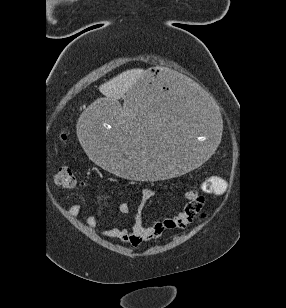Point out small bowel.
<instances>
[{
	"label": "small bowel",
	"mask_w": 286,
	"mask_h": 308,
	"mask_svg": "<svg viewBox=\"0 0 286 308\" xmlns=\"http://www.w3.org/2000/svg\"><path fill=\"white\" fill-rule=\"evenodd\" d=\"M142 194V205L154 197L155 192L150 188H144L141 191ZM186 205L184 208L175 216L164 218L160 221H155L152 224L146 225L141 221L140 209L138 208L135 214V220L130 228L115 226L105 232V235L109 238L117 239L123 243L129 244L133 247H137L144 242L157 240L162 236L165 230L172 229H185L191 224L204 206V197L199 191L190 189L185 193ZM118 210L121 213H128L129 206L125 203L118 205ZM82 212V206L75 204L68 210L70 216H77ZM100 221L97 213L89 216L85 224L88 227L96 226Z\"/></svg>",
	"instance_id": "c3829d8e"
}]
</instances>
